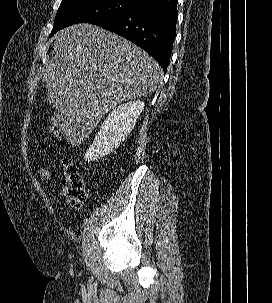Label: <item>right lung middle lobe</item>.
<instances>
[{
  "label": "right lung middle lobe",
  "mask_w": 272,
  "mask_h": 303,
  "mask_svg": "<svg viewBox=\"0 0 272 303\" xmlns=\"http://www.w3.org/2000/svg\"><path fill=\"white\" fill-rule=\"evenodd\" d=\"M134 0H63L57 11L50 37L58 30L76 23L97 20L133 9Z\"/></svg>",
  "instance_id": "right-lung-middle-lobe-1"
}]
</instances>
